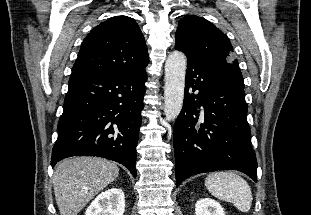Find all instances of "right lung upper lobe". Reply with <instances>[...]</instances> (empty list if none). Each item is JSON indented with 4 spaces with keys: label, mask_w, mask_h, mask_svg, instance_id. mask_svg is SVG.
Wrapping results in <instances>:
<instances>
[{
    "label": "right lung upper lobe",
    "mask_w": 311,
    "mask_h": 215,
    "mask_svg": "<svg viewBox=\"0 0 311 215\" xmlns=\"http://www.w3.org/2000/svg\"><path fill=\"white\" fill-rule=\"evenodd\" d=\"M149 56L134 19L115 16L93 28L81 44L72 74L129 75L145 70Z\"/></svg>",
    "instance_id": "obj_1"
}]
</instances>
